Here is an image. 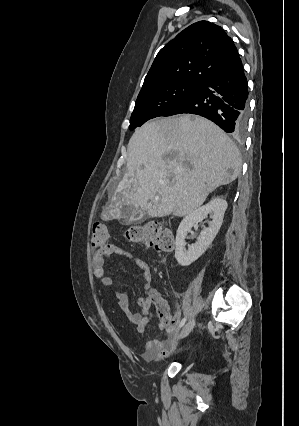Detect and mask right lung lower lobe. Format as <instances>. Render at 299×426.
I'll list each match as a JSON object with an SVG mask.
<instances>
[{
	"label": "right lung lower lobe",
	"instance_id": "98d812e1",
	"mask_svg": "<svg viewBox=\"0 0 299 426\" xmlns=\"http://www.w3.org/2000/svg\"><path fill=\"white\" fill-rule=\"evenodd\" d=\"M247 98V79L238 58L163 116L197 114L213 121L228 133L240 135L247 122Z\"/></svg>",
	"mask_w": 299,
	"mask_h": 426
}]
</instances>
